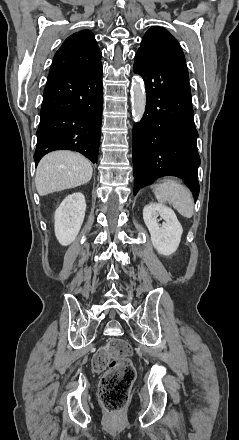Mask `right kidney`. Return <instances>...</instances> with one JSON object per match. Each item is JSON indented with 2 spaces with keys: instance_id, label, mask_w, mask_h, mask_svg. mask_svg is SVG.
<instances>
[{
  "instance_id": "obj_1",
  "label": "right kidney",
  "mask_w": 239,
  "mask_h": 440,
  "mask_svg": "<svg viewBox=\"0 0 239 440\" xmlns=\"http://www.w3.org/2000/svg\"><path fill=\"white\" fill-rule=\"evenodd\" d=\"M86 202L81 192L67 196L55 212V236L62 248H71L83 224Z\"/></svg>"
}]
</instances>
